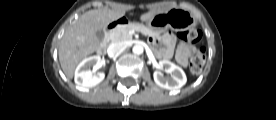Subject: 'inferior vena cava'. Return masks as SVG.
Here are the masks:
<instances>
[{
    "instance_id": "obj_1",
    "label": "inferior vena cava",
    "mask_w": 276,
    "mask_h": 120,
    "mask_svg": "<svg viewBox=\"0 0 276 120\" xmlns=\"http://www.w3.org/2000/svg\"><path fill=\"white\" fill-rule=\"evenodd\" d=\"M125 47V44L123 42H116V43H112L109 47H108V55L109 56H114L116 54H118L120 51H122Z\"/></svg>"
}]
</instances>
